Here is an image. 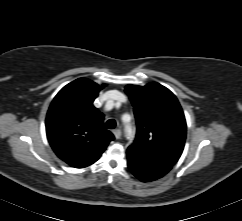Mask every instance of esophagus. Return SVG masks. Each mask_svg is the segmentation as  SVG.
I'll return each mask as SVG.
<instances>
[{"mask_svg":"<svg viewBox=\"0 0 242 221\" xmlns=\"http://www.w3.org/2000/svg\"><path fill=\"white\" fill-rule=\"evenodd\" d=\"M113 134H114L116 139H120V137H121V130L115 129V130H113Z\"/></svg>","mask_w":242,"mask_h":221,"instance_id":"esophagus-1","label":"esophagus"}]
</instances>
